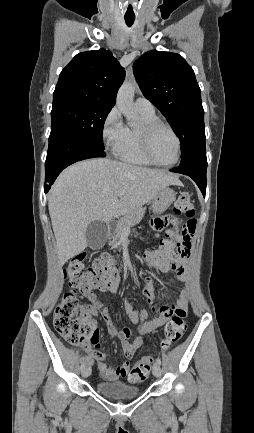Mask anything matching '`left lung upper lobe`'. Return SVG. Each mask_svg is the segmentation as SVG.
<instances>
[{"mask_svg":"<svg viewBox=\"0 0 254 433\" xmlns=\"http://www.w3.org/2000/svg\"><path fill=\"white\" fill-rule=\"evenodd\" d=\"M133 72L143 95L178 135L180 165L207 164L201 91L185 59L176 53L150 51L134 62Z\"/></svg>","mask_w":254,"mask_h":433,"instance_id":"obj_1","label":"left lung upper lobe"}]
</instances>
